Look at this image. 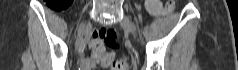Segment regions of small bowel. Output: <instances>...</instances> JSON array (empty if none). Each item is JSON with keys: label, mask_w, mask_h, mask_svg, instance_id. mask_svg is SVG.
<instances>
[{"label": "small bowel", "mask_w": 238, "mask_h": 70, "mask_svg": "<svg viewBox=\"0 0 238 70\" xmlns=\"http://www.w3.org/2000/svg\"><path fill=\"white\" fill-rule=\"evenodd\" d=\"M92 42V41H91ZM91 42L89 43V46L91 47ZM92 48V47H91ZM110 57V56H108ZM101 61L103 62L102 57L96 54L93 49H92V56L90 58L84 59L81 62V69L82 70H91L96 68L98 62Z\"/></svg>", "instance_id": "1"}]
</instances>
